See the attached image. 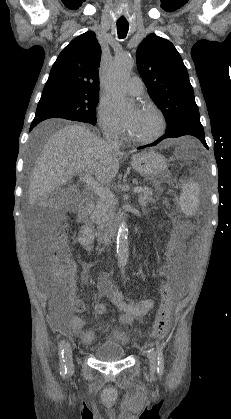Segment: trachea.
Instances as JSON below:
<instances>
[{"instance_id":"1","label":"trachea","mask_w":231,"mask_h":419,"mask_svg":"<svg viewBox=\"0 0 231 419\" xmlns=\"http://www.w3.org/2000/svg\"><path fill=\"white\" fill-rule=\"evenodd\" d=\"M128 29H129L128 22H123V21L117 22V33L120 39H123L126 37Z\"/></svg>"}]
</instances>
